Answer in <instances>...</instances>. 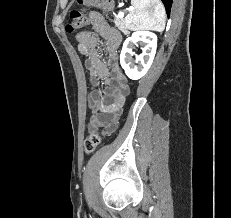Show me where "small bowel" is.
I'll return each instance as SVG.
<instances>
[{
    "label": "small bowel",
    "instance_id": "small-bowel-1",
    "mask_svg": "<svg viewBox=\"0 0 231 218\" xmlns=\"http://www.w3.org/2000/svg\"><path fill=\"white\" fill-rule=\"evenodd\" d=\"M91 29L76 34L79 52L90 71L91 83L95 88L88 95V107L92 112L89 127L103 126L104 135L112 134L119 125V118L130 89L119 65L117 50L121 42L120 33L112 28L96 11L89 13ZM108 56L105 61L100 51V39ZM102 82L105 87L99 88Z\"/></svg>",
    "mask_w": 231,
    "mask_h": 218
}]
</instances>
